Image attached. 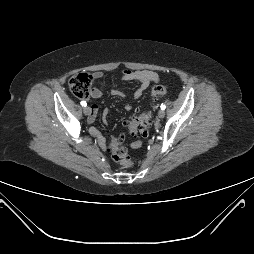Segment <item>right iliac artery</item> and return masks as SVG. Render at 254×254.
I'll list each match as a JSON object with an SVG mask.
<instances>
[{
  "mask_svg": "<svg viewBox=\"0 0 254 254\" xmlns=\"http://www.w3.org/2000/svg\"><path fill=\"white\" fill-rule=\"evenodd\" d=\"M80 104H81L83 107H85V106L87 105L85 101H81Z\"/></svg>",
  "mask_w": 254,
  "mask_h": 254,
  "instance_id": "obj_1",
  "label": "right iliac artery"
}]
</instances>
